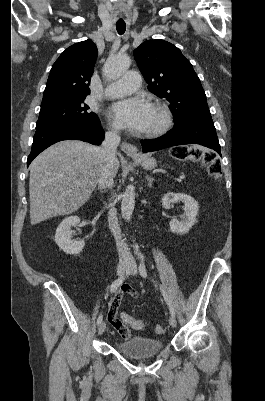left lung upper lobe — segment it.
Here are the masks:
<instances>
[{"instance_id": "1", "label": "left lung upper lobe", "mask_w": 265, "mask_h": 401, "mask_svg": "<svg viewBox=\"0 0 265 401\" xmlns=\"http://www.w3.org/2000/svg\"><path fill=\"white\" fill-rule=\"evenodd\" d=\"M133 54L149 84L148 90L170 103L175 123L210 114L199 78L176 46L164 40H149Z\"/></svg>"}]
</instances>
